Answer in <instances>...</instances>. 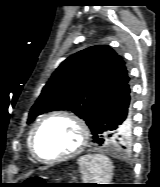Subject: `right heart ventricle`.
Returning a JSON list of instances; mask_svg holds the SVG:
<instances>
[{
  "mask_svg": "<svg viewBox=\"0 0 160 187\" xmlns=\"http://www.w3.org/2000/svg\"><path fill=\"white\" fill-rule=\"evenodd\" d=\"M28 146L30 147V134L28 135Z\"/></svg>",
  "mask_w": 160,
  "mask_h": 187,
  "instance_id": "right-heart-ventricle-1",
  "label": "right heart ventricle"
}]
</instances>
